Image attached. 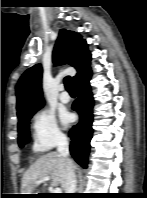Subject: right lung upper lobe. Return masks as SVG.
I'll return each mask as SVG.
<instances>
[{"mask_svg":"<svg viewBox=\"0 0 147 198\" xmlns=\"http://www.w3.org/2000/svg\"><path fill=\"white\" fill-rule=\"evenodd\" d=\"M91 54L87 43L73 31L61 29L57 38L53 62L56 65L69 64L76 68L74 82L90 70ZM18 122L35 113L44 105L42 97V67L36 64L25 71L16 86Z\"/></svg>","mask_w":147,"mask_h":198,"instance_id":"cb5924a9","label":"right lung upper lobe"}]
</instances>
